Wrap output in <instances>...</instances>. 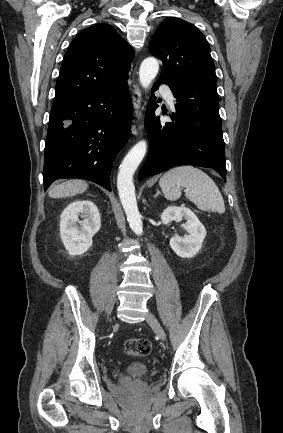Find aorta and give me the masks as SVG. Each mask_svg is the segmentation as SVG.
<instances>
[{
	"instance_id": "aorta-1",
	"label": "aorta",
	"mask_w": 283,
	"mask_h": 433,
	"mask_svg": "<svg viewBox=\"0 0 283 433\" xmlns=\"http://www.w3.org/2000/svg\"><path fill=\"white\" fill-rule=\"evenodd\" d=\"M159 71L157 59L148 57L143 60L139 69V81L143 88L147 89ZM147 151V142L141 140L136 143L123 159L117 176V188L130 228L136 235H141L143 225L138 210L133 184V175L143 160Z\"/></svg>"
}]
</instances>
